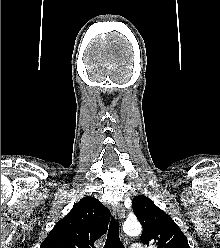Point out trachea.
<instances>
[{
  "instance_id": "obj_1",
  "label": "trachea",
  "mask_w": 220,
  "mask_h": 248,
  "mask_svg": "<svg viewBox=\"0 0 220 248\" xmlns=\"http://www.w3.org/2000/svg\"><path fill=\"white\" fill-rule=\"evenodd\" d=\"M104 248H124L119 238V226L115 220H111Z\"/></svg>"
}]
</instances>
